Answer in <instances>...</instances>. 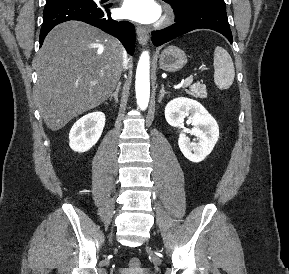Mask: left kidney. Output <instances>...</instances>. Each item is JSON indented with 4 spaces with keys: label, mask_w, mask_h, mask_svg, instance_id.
<instances>
[{
    "label": "left kidney",
    "mask_w": 289,
    "mask_h": 274,
    "mask_svg": "<svg viewBox=\"0 0 289 274\" xmlns=\"http://www.w3.org/2000/svg\"><path fill=\"white\" fill-rule=\"evenodd\" d=\"M186 117L193 125L190 133L196 139L191 141L185 133H180L178 145L188 160L198 163L212 152L219 138V127L208 111L195 100L180 97L166 105L165 118L171 126L181 127Z\"/></svg>",
    "instance_id": "1"
}]
</instances>
